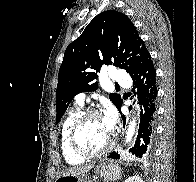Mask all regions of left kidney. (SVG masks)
<instances>
[{
  "mask_svg": "<svg viewBox=\"0 0 196 182\" xmlns=\"http://www.w3.org/2000/svg\"><path fill=\"white\" fill-rule=\"evenodd\" d=\"M124 182H143L139 176H132L126 179Z\"/></svg>",
  "mask_w": 196,
  "mask_h": 182,
  "instance_id": "left-kidney-1",
  "label": "left kidney"
}]
</instances>
